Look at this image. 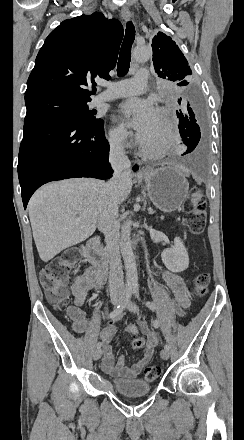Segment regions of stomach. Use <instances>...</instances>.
Returning a JSON list of instances; mask_svg holds the SVG:
<instances>
[{"label": "stomach", "instance_id": "stomach-1", "mask_svg": "<svg viewBox=\"0 0 244 440\" xmlns=\"http://www.w3.org/2000/svg\"><path fill=\"white\" fill-rule=\"evenodd\" d=\"M148 196L161 212H175L188 196L189 182L173 166L150 168L143 174Z\"/></svg>", "mask_w": 244, "mask_h": 440}]
</instances>
